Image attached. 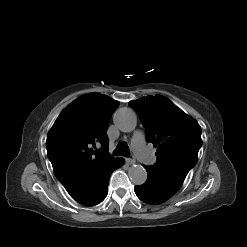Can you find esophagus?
<instances>
[{"label":"esophagus","mask_w":247,"mask_h":247,"mask_svg":"<svg viewBox=\"0 0 247 247\" xmlns=\"http://www.w3.org/2000/svg\"><path fill=\"white\" fill-rule=\"evenodd\" d=\"M136 162L135 158L133 156H129L128 158H126V163L129 165H132Z\"/></svg>","instance_id":"34e87169"}]
</instances>
